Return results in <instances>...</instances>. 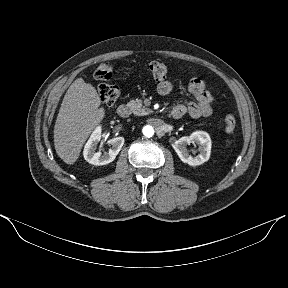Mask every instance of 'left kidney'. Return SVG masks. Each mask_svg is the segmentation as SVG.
<instances>
[{
	"label": "left kidney",
	"instance_id": "obj_1",
	"mask_svg": "<svg viewBox=\"0 0 288 288\" xmlns=\"http://www.w3.org/2000/svg\"><path fill=\"white\" fill-rule=\"evenodd\" d=\"M190 143L199 145V154L195 157L191 156L186 148ZM172 147L183 161L191 166L201 165L208 161L211 153V138L204 131H195L188 137H182L176 140Z\"/></svg>",
	"mask_w": 288,
	"mask_h": 288
}]
</instances>
